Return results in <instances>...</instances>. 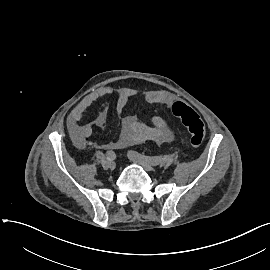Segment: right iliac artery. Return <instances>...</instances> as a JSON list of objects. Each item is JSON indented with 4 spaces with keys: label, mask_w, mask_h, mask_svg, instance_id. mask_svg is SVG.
Returning a JSON list of instances; mask_svg holds the SVG:
<instances>
[{
    "label": "right iliac artery",
    "mask_w": 270,
    "mask_h": 270,
    "mask_svg": "<svg viewBox=\"0 0 270 270\" xmlns=\"http://www.w3.org/2000/svg\"><path fill=\"white\" fill-rule=\"evenodd\" d=\"M106 156L108 160H114L116 158V154L112 150L107 151Z\"/></svg>",
    "instance_id": "obj_1"
}]
</instances>
